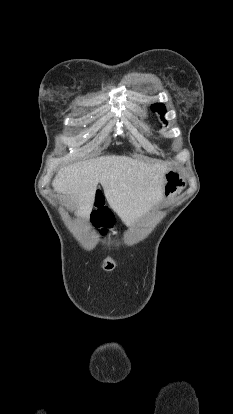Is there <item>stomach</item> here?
<instances>
[{
  "label": "stomach",
  "instance_id": "1",
  "mask_svg": "<svg viewBox=\"0 0 233 414\" xmlns=\"http://www.w3.org/2000/svg\"><path fill=\"white\" fill-rule=\"evenodd\" d=\"M185 186V180L177 167H171L165 173L162 198L172 197Z\"/></svg>",
  "mask_w": 233,
  "mask_h": 414
}]
</instances>
